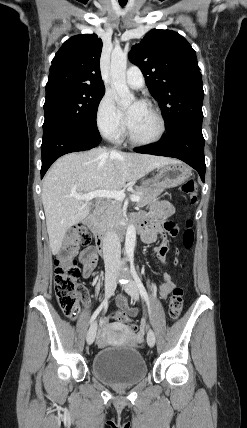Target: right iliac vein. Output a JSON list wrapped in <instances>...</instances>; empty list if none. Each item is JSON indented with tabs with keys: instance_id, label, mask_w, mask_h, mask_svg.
Listing matches in <instances>:
<instances>
[{
	"instance_id": "1",
	"label": "right iliac vein",
	"mask_w": 247,
	"mask_h": 428,
	"mask_svg": "<svg viewBox=\"0 0 247 428\" xmlns=\"http://www.w3.org/2000/svg\"><path fill=\"white\" fill-rule=\"evenodd\" d=\"M115 280H116L115 272L112 271V272L107 273L106 278H105V295L107 297H109L115 289V286H116ZM96 331H97V323L94 322L91 325V327L89 328L88 333H87V337H86L87 343L89 345H91L94 342L95 336H96Z\"/></svg>"
}]
</instances>
